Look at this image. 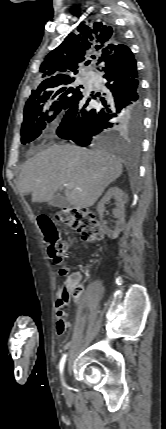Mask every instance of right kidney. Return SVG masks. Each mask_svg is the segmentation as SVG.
Masks as SVG:
<instances>
[{
  "label": "right kidney",
  "mask_w": 166,
  "mask_h": 429,
  "mask_svg": "<svg viewBox=\"0 0 166 429\" xmlns=\"http://www.w3.org/2000/svg\"><path fill=\"white\" fill-rule=\"evenodd\" d=\"M112 198L116 200V208L113 210V215L117 218V222L115 229L112 232L108 231V236L116 239L125 226L124 205L128 201V195L116 186L109 188L97 206V211L101 219L105 212V205Z\"/></svg>",
  "instance_id": "1"
}]
</instances>
